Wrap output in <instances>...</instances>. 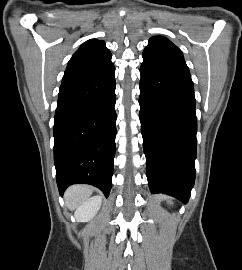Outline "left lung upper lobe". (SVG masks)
I'll use <instances>...</instances> for the list:
<instances>
[{
    "instance_id": "5c2ea615",
    "label": "left lung upper lobe",
    "mask_w": 242,
    "mask_h": 270,
    "mask_svg": "<svg viewBox=\"0 0 242 270\" xmlns=\"http://www.w3.org/2000/svg\"><path fill=\"white\" fill-rule=\"evenodd\" d=\"M142 56L148 61L170 63L188 69L181 50L164 37L150 38Z\"/></svg>"
}]
</instances>
